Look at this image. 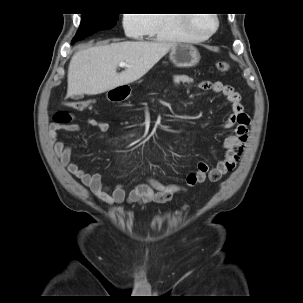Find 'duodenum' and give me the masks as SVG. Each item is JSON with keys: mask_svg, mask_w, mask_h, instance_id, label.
I'll return each mask as SVG.
<instances>
[{"mask_svg": "<svg viewBox=\"0 0 303 303\" xmlns=\"http://www.w3.org/2000/svg\"><path fill=\"white\" fill-rule=\"evenodd\" d=\"M125 97H126V93L122 89H116L111 92V98L116 101L123 100Z\"/></svg>", "mask_w": 303, "mask_h": 303, "instance_id": "obj_1", "label": "duodenum"}]
</instances>
